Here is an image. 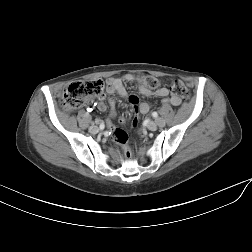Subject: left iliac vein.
Listing matches in <instances>:
<instances>
[{
    "label": "left iliac vein",
    "instance_id": "4c4485c4",
    "mask_svg": "<svg viewBox=\"0 0 252 252\" xmlns=\"http://www.w3.org/2000/svg\"><path fill=\"white\" fill-rule=\"evenodd\" d=\"M165 125V120L162 119V118H158L155 121H150L148 124H147V128L151 131H155L157 129L158 126H164Z\"/></svg>",
    "mask_w": 252,
    "mask_h": 252
}]
</instances>
